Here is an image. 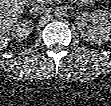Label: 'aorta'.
<instances>
[{"instance_id": "1", "label": "aorta", "mask_w": 111, "mask_h": 106, "mask_svg": "<svg viewBox=\"0 0 111 106\" xmlns=\"http://www.w3.org/2000/svg\"><path fill=\"white\" fill-rule=\"evenodd\" d=\"M55 16L59 17V18H62L65 16V11L64 10H58L55 12Z\"/></svg>"}]
</instances>
